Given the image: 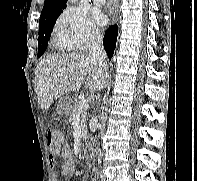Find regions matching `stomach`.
Segmentation results:
<instances>
[{"instance_id":"stomach-1","label":"stomach","mask_w":197,"mask_h":181,"mask_svg":"<svg viewBox=\"0 0 197 181\" xmlns=\"http://www.w3.org/2000/svg\"><path fill=\"white\" fill-rule=\"evenodd\" d=\"M73 105V101L69 97H61L58 105H57V112L61 115H68L70 112V109Z\"/></svg>"}]
</instances>
